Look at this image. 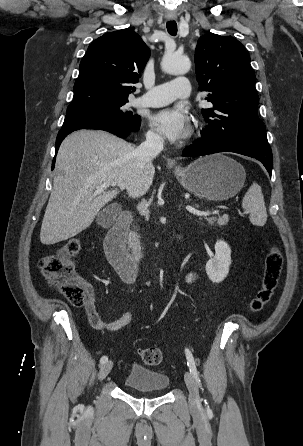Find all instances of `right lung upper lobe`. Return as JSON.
I'll return each mask as SVG.
<instances>
[{
	"instance_id": "right-lung-upper-lobe-1",
	"label": "right lung upper lobe",
	"mask_w": 303,
	"mask_h": 446,
	"mask_svg": "<svg viewBox=\"0 0 303 446\" xmlns=\"http://www.w3.org/2000/svg\"><path fill=\"white\" fill-rule=\"evenodd\" d=\"M150 56L141 37L129 29L106 33L91 43L80 63L74 97L67 110L128 101Z\"/></svg>"
}]
</instances>
